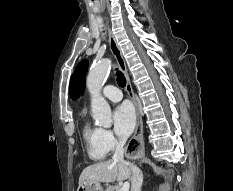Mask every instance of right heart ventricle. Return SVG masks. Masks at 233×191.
<instances>
[{"instance_id":"e07e8e85","label":"right heart ventricle","mask_w":233,"mask_h":191,"mask_svg":"<svg viewBox=\"0 0 233 191\" xmlns=\"http://www.w3.org/2000/svg\"><path fill=\"white\" fill-rule=\"evenodd\" d=\"M82 135L86 144L88 156L94 161L103 160L106 157L107 152L103 149L100 143V128L85 122L82 129Z\"/></svg>"}]
</instances>
